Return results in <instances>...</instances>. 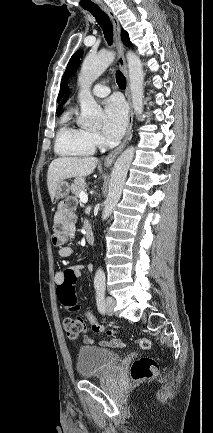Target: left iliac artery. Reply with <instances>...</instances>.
<instances>
[{"label":"left iliac artery","mask_w":213,"mask_h":433,"mask_svg":"<svg viewBox=\"0 0 213 433\" xmlns=\"http://www.w3.org/2000/svg\"><path fill=\"white\" fill-rule=\"evenodd\" d=\"M104 298H105V287H98L96 289V300H97V308L101 314L105 313L104 306Z\"/></svg>","instance_id":"1"}]
</instances>
